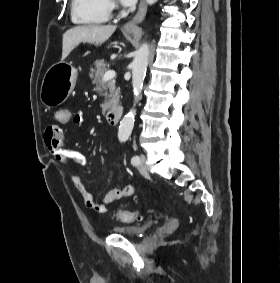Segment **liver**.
<instances>
[{
	"label": "liver",
	"instance_id": "liver-1",
	"mask_svg": "<svg viewBox=\"0 0 280 283\" xmlns=\"http://www.w3.org/2000/svg\"><path fill=\"white\" fill-rule=\"evenodd\" d=\"M115 30V25H82L67 30L63 35L62 61L80 43L100 46Z\"/></svg>",
	"mask_w": 280,
	"mask_h": 283
}]
</instances>
